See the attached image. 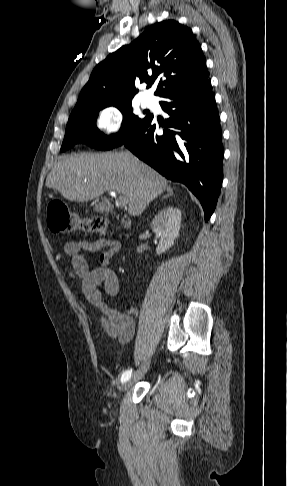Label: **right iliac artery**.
I'll return each instance as SVG.
<instances>
[{"instance_id": "right-iliac-artery-1", "label": "right iliac artery", "mask_w": 287, "mask_h": 486, "mask_svg": "<svg viewBox=\"0 0 287 486\" xmlns=\"http://www.w3.org/2000/svg\"><path fill=\"white\" fill-rule=\"evenodd\" d=\"M132 375V370H126L121 376V382H126Z\"/></svg>"}]
</instances>
